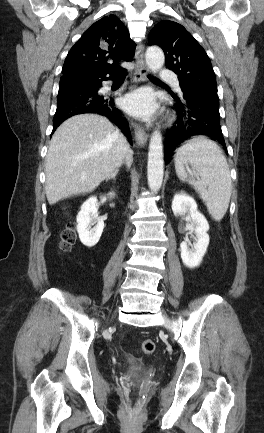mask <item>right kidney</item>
<instances>
[{
	"label": "right kidney",
	"instance_id": "1",
	"mask_svg": "<svg viewBox=\"0 0 264 433\" xmlns=\"http://www.w3.org/2000/svg\"><path fill=\"white\" fill-rule=\"evenodd\" d=\"M113 196L114 193H109ZM95 225L93 228L91 226ZM104 229L103 219L98 217L97 198L92 196L86 200L77 215V232L80 241L87 247L95 246Z\"/></svg>",
	"mask_w": 264,
	"mask_h": 433
}]
</instances>
